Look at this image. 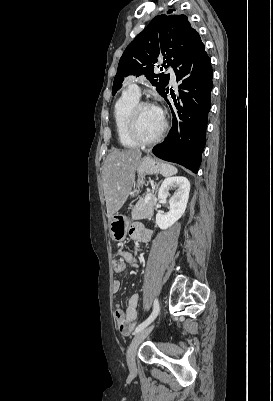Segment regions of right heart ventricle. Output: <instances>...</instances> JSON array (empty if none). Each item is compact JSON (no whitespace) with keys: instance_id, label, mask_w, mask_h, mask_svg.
I'll return each instance as SVG.
<instances>
[{"instance_id":"e07e8e85","label":"right heart ventricle","mask_w":273,"mask_h":401,"mask_svg":"<svg viewBox=\"0 0 273 401\" xmlns=\"http://www.w3.org/2000/svg\"><path fill=\"white\" fill-rule=\"evenodd\" d=\"M139 98L132 94H122L113 105L114 127L119 143L125 148H138L140 145L132 141L126 134V122L132 108Z\"/></svg>"}]
</instances>
